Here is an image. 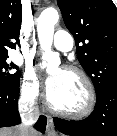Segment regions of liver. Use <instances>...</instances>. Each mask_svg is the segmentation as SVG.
I'll return each mask as SVG.
<instances>
[{"label": "liver", "instance_id": "obj_1", "mask_svg": "<svg viewBox=\"0 0 117 136\" xmlns=\"http://www.w3.org/2000/svg\"><path fill=\"white\" fill-rule=\"evenodd\" d=\"M20 127L0 129V136H22ZM27 136H36V132L29 131Z\"/></svg>", "mask_w": 117, "mask_h": 136}]
</instances>
